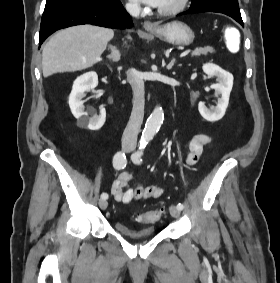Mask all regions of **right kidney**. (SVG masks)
<instances>
[{"label":"right kidney","instance_id":"right-kidney-1","mask_svg":"<svg viewBox=\"0 0 280 283\" xmlns=\"http://www.w3.org/2000/svg\"><path fill=\"white\" fill-rule=\"evenodd\" d=\"M97 85L98 76L96 72L91 71L79 76L73 83L68 102L72 114L77 119V125L93 131L99 130L104 125L106 110L101 107L99 115L93 109L85 111L82 98L85 97L86 92H90Z\"/></svg>","mask_w":280,"mask_h":283}]
</instances>
